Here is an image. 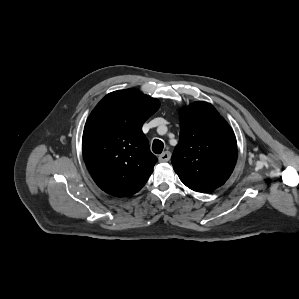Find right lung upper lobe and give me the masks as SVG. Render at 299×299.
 <instances>
[{
    "instance_id": "right-lung-upper-lobe-1",
    "label": "right lung upper lobe",
    "mask_w": 299,
    "mask_h": 299,
    "mask_svg": "<svg viewBox=\"0 0 299 299\" xmlns=\"http://www.w3.org/2000/svg\"><path fill=\"white\" fill-rule=\"evenodd\" d=\"M160 104L136 89L107 94L89 115L83 132L85 164L96 182L113 196L138 192L150 177L157 157L142 132Z\"/></svg>"
}]
</instances>
